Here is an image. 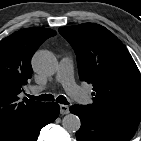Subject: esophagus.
Returning <instances> with one entry per match:
<instances>
[{
	"label": "esophagus",
	"instance_id": "obj_1",
	"mask_svg": "<svg viewBox=\"0 0 141 141\" xmlns=\"http://www.w3.org/2000/svg\"><path fill=\"white\" fill-rule=\"evenodd\" d=\"M60 113L62 115L68 114L69 113V106L68 105H64V104H61L60 105Z\"/></svg>",
	"mask_w": 141,
	"mask_h": 141
}]
</instances>
